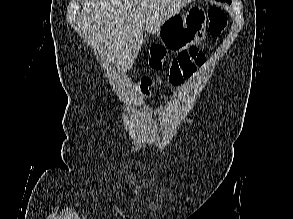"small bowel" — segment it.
<instances>
[{
	"instance_id": "c3829d8e",
	"label": "small bowel",
	"mask_w": 293,
	"mask_h": 219,
	"mask_svg": "<svg viewBox=\"0 0 293 219\" xmlns=\"http://www.w3.org/2000/svg\"><path fill=\"white\" fill-rule=\"evenodd\" d=\"M153 85V82L149 78H145L142 81V84L140 86V92L143 94H147L149 91V88Z\"/></svg>"
}]
</instances>
